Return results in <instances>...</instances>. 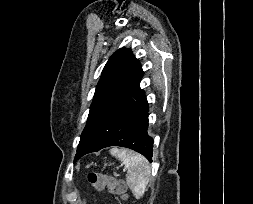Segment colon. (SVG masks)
Segmentation results:
<instances>
[{
    "label": "colon",
    "instance_id": "colon-1",
    "mask_svg": "<svg viewBox=\"0 0 253 204\" xmlns=\"http://www.w3.org/2000/svg\"><path fill=\"white\" fill-rule=\"evenodd\" d=\"M88 182L92 187L101 190L107 187L108 191L114 195L124 197L126 187L123 181L116 179L107 174L91 172L87 176Z\"/></svg>",
    "mask_w": 253,
    "mask_h": 204
}]
</instances>
